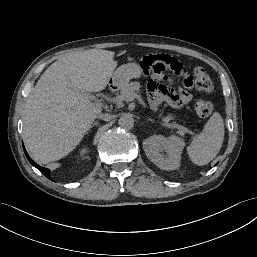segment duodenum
I'll list each match as a JSON object with an SVG mask.
<instances>
[{"label":"duodenum","mask_w":257,"mask_h":257,"mask_svg":"<svg viewBox=\"0 0 257 257\" xmlns=\"http://www.w3.org/2000/svg\"><path fill=\"white\" fill-rule=\"evenodd\" d=\"M117 88H118V85H117V83H115V82H112V83L109 85V90H110V91H115Z\"/></svg>","instance_id":"obj_1"}]
</instances>
